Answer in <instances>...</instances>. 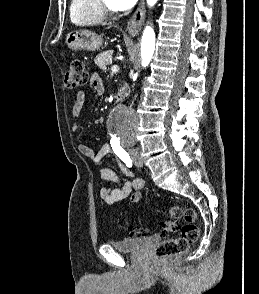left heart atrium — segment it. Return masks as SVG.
<instances>
[{
  "label": "left heart atrium",
  "instance_id": "39dd6f15",
  "mask_svg": "<svg viewBox=\"0 0 259 294\" xmlns=\"http://www.w3.org/2000/svg\"><path fill=\"white\" fill-rule=\"evenodd\" d=\"M115 9L127 10L132 8L137 0H113Z\"/></svg>",
  "mask_w": 259,
  "mask_h": 294
}]
</instances>
